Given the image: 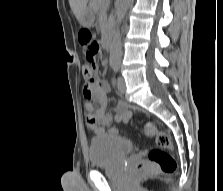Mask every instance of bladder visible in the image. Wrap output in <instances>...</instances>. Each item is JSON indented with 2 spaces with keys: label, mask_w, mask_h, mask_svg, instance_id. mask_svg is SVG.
<instances>
[{
  "label": "bladder",
  "mask_w": 223,
  "mask_h": 191,
  "mask_svg": "<svg viewBox=\"0 0 223 191\" xmlns=\"http://www.w3.org/2000/svg\"><path fill=\"white\" fill-rule=\"evenodd\" d=\"M132 150V142L124 137L117 135L94 137L88 145L90 166L103 167L119 164Z\"/></svg>",
  "instance_id": "bladder-1"
}]
</instances>
